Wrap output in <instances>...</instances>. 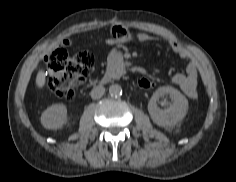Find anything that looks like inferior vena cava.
<instances>
[{
    "label": "inferior vena cava",
    "instance_id": "obj_1",
    "mask_svg": "<svg viewBox=\"0 0 236 182\" xmlns=\"http://www.w3.org/2000/svg\"><path fill=\"white\" fill-rule=\"evenodd\" d=\"M105 93V88L103 86H95L92 90H91V97L92 99H99L103 96V94Z\"/></svg>",
    "mask_w": 236,
    "mask_h": 182
}]
</instances>
